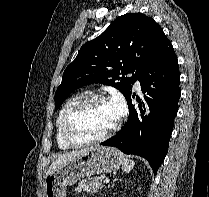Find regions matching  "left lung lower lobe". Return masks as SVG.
<instances>
[{"label": "left lung lower lobe", "mask_w": 209, "mask_h": 197, "mask_svg": "<svg viewBox=\"0 0 209 197\" xmlns=\"http://www.w3.org/2000/svg\"><path fill=\"white\" fill-rule=\"evenodd\" d=\"M137 80L145 93V102L139 101L137 110L132 104L131 92L126 98L129 106L127 123L101 145L144 157L156 174L168 151L181 94L178 60L168 39L141 70Z\"/></svg>", "instance_id": "left-lung-lower-lobe-1"}]
</instances>
